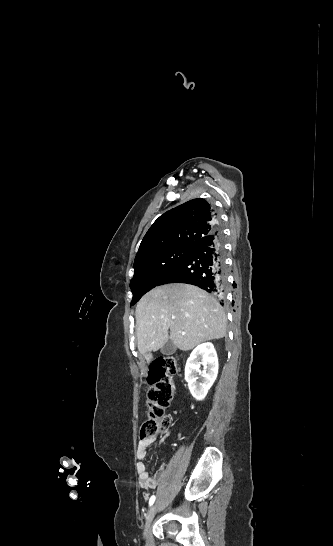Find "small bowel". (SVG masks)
I'll return each instance as SVG.
<instances>
[{"mask_svg":"<svg viewBox=\"0 0 333 546\" xmlns=\"http://www.w3.org/2000/svg\"><path fill=\"white\" fill-rule=\"evenodd\" d=\"M153 439H141L137 447V456L140 462L137 465V471L139 474V484L141 488L145 489L146 492L143 495V499L147 500L149 497V491L155 489L159 484L160 480L165 476L167 465L163 463L160 468L156 471L154 475H150L147 470V465L144 462V459L147 456L148 448Z\"/></svg>","mask_w":333,"mask_h":546,"instance_id":"1","label":"small bowel"}]
</instances>
